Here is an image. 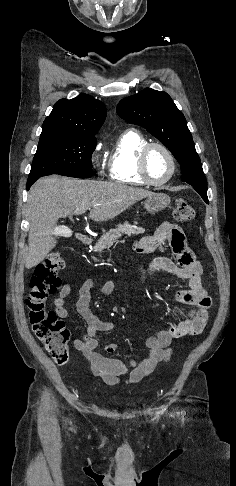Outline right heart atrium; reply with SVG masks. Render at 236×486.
<instances>
[{"mask_svg": "<svg viewBox=\"0 0 236 486\" xmlns=\"http://www.w3.org/2000/svg\"><path fill=\"white\" fill-rule=\"evenodd\" d=\"M99 150H100V144H98L95 149H94V152L92 154V161L94 164H97L98 162V159H99Z\"/></svg>", "mask_w": 236, "mask_h": 486, "instance_id": "obj_1", "label": "right heart atrium"}]
</instances>
